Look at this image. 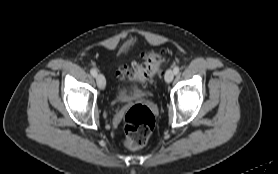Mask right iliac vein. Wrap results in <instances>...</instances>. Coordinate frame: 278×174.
Wrapping results in <instances>:
<instances>
[{
  "label": "right iliac vein",
  "mask_w": 278,
  "mask_h": 174,
  "mask_svg": "<svg viewBox=\"0 0 278 174\" xmlns=\"http://www.w3.org/2000/svg\"><path fill=\"white\" fill-rule=\"evenodd\" d=\"M96 82L100 89H104L106 85L105 77L102 74H98L96 76Z\"/></svg>",
  "instance_id": "right-iliac-vein-1"
}]
</instances>
